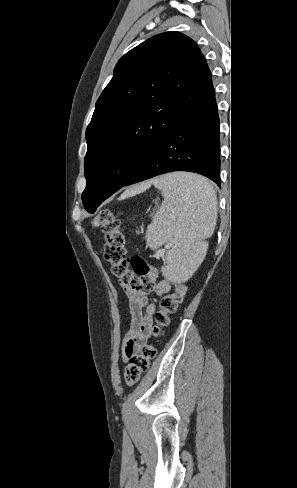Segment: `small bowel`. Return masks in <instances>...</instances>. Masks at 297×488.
<instances>
[{
	"mask_svg": "<svg viewBox=\"0 0 297 488\" xmlns=\"http://www.w3.org/2000/svg\"><path fill=\"white\" fill-rule=\"evenodd\" d=\"M121 285L128 299L130 315V329L124 340L123 352L125 358L130 359L150 338L157 300L170 292L171 282L167 278L161 279L156 285L154 298L135 291L129 285Z\"/></svg>",
	"mask_w": 297,
	"mask_h": 488,
	"instance_id": "obj_1",
	"label": "small bowel"
}]
</instances>
